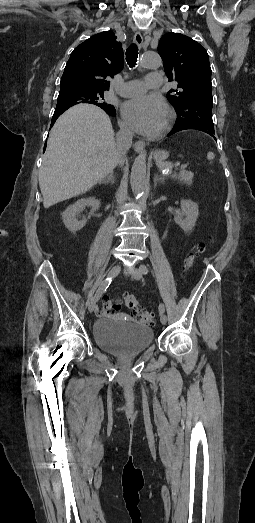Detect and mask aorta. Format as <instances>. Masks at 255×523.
Returning a JSON list of instances; mask_svg holds the SVG:
<instances>
[{"mask_svg":"<svg viewBox=\"0 0 255 523\" xmlns=\"http://www.w3.org/2000/svg\"><path fill=\"white\" fill-rule=\"evenodd\" d=\"M161 64L162 60L156 52H145L140 62V65L144 68H158ZM146 170V156L140 154L133 163L130 175L131 188L137 198H140L146 188Z\"/></svg>","mask_w":255,"mask_h":523,"instance_id":"762f6f07","label":"aorta"}]
</instances>
